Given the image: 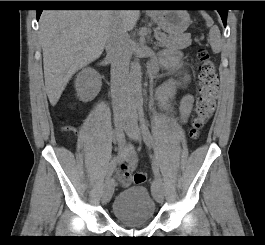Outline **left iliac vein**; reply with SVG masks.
<instances>
[{"mask_svg":"<svg viewBox=\"0 0 265 245\" xmlns=\"http://www.w3.org/2000/svg\"><path fill=\"white\" fill-rule=\"evenodd\" d=\"M125 130H126V134L128 138H130L131 140L136 141V142L141 140V134H140V130L138 127L136 117H133L127 122V126ZM152 195L158 203L163 202V199H164L163 189H162V186L159 185L156 181L154 183V189L152 190Z\"/></svg>","mask_w":265,"mask_h":245,"instance_id":"left-iliac-vein-1","label":"left iliac vein"}]
</instances>
